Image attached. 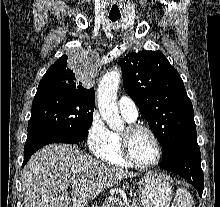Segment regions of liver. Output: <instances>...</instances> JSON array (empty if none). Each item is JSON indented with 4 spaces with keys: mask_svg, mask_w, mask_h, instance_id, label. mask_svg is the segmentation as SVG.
Segmentation results:
<instances>
[{
    "mask_svg": "<svg viewBox=\"0 0 220 207\" xmlns=\"http://www.w3.org/2000/svg\"><path fill=\"white\" fill-rule=\"evenodd\" d=\"M134 172L106 165L75 146L51 144L36 152L24 167L25 207H85L90 200ZM79 183L67 193L69 184Z\"/></svg>",
    "mask_w": 220,
    "mask_h": 207,
    "instance_id": "1",
    "label": "liver"
}]
</instances>
